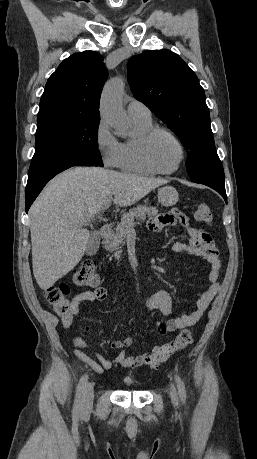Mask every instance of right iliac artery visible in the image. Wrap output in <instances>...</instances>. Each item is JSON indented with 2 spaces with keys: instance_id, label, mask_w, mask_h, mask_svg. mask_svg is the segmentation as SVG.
I'll use <instances>...</instances> for the list:
<instances>
[{
  "instance_id": "obj_1",
  "label": "right iliac artery",
  "mask_w": 257,
  "mask_h": 459,
  "mask_svg": "<svg viewBox=\"0 0 257 459\" xmlns=\"http://www.w3.org/2000/svg\"><path fill=\"white\" fill-rule=\"evenodd\" d=\"M88 382V375L84 374L77 386L76 390V397H75V402H74V407H73V414L78 415L80 413L81 407H82V399H83V393L85 386Z\"/></svg>"
}]
</instances>
